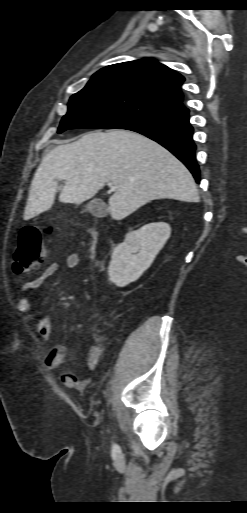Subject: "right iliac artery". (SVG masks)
<instances>
[{
  "label": "right iliac artery",
  "mask_w": 247,
  "mask_h": 513,
  "mask_svg": "<svg viewBox=\"0 0 247 513\" xmlns=\"http://www.w3.org/2000/svg\"><path fill=\"white\" fill-rule=\"evenodd\" d=\"M112 451H113V453L118 452L119 451V446L117 444H113Z\"/></svg>",
  "instance_id": "obj_1"
}]
</instances>
